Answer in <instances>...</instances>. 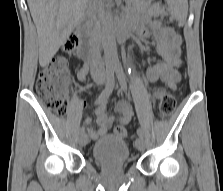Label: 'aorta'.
Returning <instances> with one entry per match:
<instances>
[{"label": "aorta", "mask_w": 223, "mask_h": 191, "mask_svg": "<svg viewBox=\"0 0 223 191\" xmlns=\"http://www.w3.org/2000/svg\"><path fill=\"white\" fill-rule=\"evenodd\" d=\"M102 47L107 65L119 63L116 40L113 32V14L109 11L103 22Z\"/></svg>", "instance_id": "obj_1"}]
</instances>
